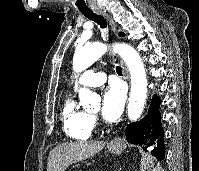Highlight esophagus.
<instances>
[{
  "mask_svg": "<svg viewBox=\"0 0 199 171\" xmlns=\"http://www.w3.org/2000/svg\"><path fill=\"white\" fill-rule=\"evenodd\" d=\"M98 14L102 15L109 22L112 31L114 33H116L117 27H116V24L113 21V19L110 17V15H108V13L106 11H99ZM121 65H122V68H123L124 77H125V79H127L129 81L128 69H127V67H126V65L124 64L123 61H121ZM122 143H123V141H122L121 138H115L110 142V145L111 146H120V145H122Z\"/></svg>",
  "mask_w": 199,
  "mask_h": 171,
  "instance_id": "1",
  "label": "esophagus"
}]
</instances>
